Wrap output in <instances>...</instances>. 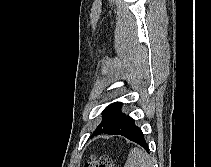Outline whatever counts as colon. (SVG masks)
I'll use <instances>...</instances> for the list:
<instances>
[{
    "mask_svg": "<svg viewBox=\"0 0 211 167\" xmlns=\"http://www.w3.org/2000/svg\"><path fill=\"white\" fill-rule=\"evenodd\" d=\"M84 167H115L112 160L108 157H91Z\"/></svg>",
    "mask_w": 211,
    "mask_h": 167,
    "instance_id": "5ec220e1",
    "label": "colon"
}]
</instances>
